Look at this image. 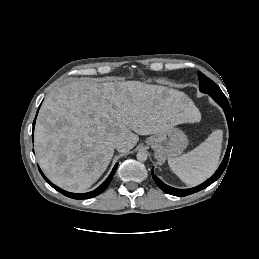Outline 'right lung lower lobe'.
Instances as JSON below:
<instances>
[{"label":"right lung lower lobe","mask_w":259,"mask_h":259,"mask_svg":"<svg viewBox=\"0 0 259 259\" xmlns=\"http://www.w3.org/2000/svg\"><path fill=\"white\" fill-rule=\"evenodd\" d=\"M34 125H35V120L33 122V127H34ZM117 165H118V163L115 164V166H114L112 172L110 173V175L108 176V178L97 189H95L94 191L88 192V193H83V194L71 193V192H67V191H64V190L60 189L59 187H57L54 184H52L44 176V174L42 173L40 168H39V171L42 174L43 178L47 181V183H49L54 189H56L57 191H59L63 195H65L67 197H70V198H73V199H89V198H92V197H95V196L99 195L100 193H102L107 188V186L109 185L110 181L113 178V175H114V173L116 171Z\"/></svg>","instance_id":"obj_1"}]
</instances>
